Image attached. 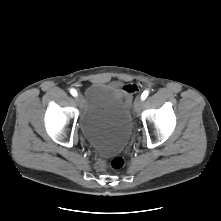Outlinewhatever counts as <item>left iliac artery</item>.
I'll use <instances>...</instances> for the list:
<instances>
[{
	"label": "left iliac artery",
	"instance_id": "obj_1",
	"mask_svg": "<svg viewBox=\"0 0 221 221\" xmlns=\"http://www.w3.org/2000/svg\"><path fill=\"white\" fill-rule=\"evenodd\" d=\"M148 94H149V92L147 90H145L141 95L142 100H145L147 98Z\"/></svg>",
	"mask_w": 221,
	"mask_h": 221
}]
</instances>
